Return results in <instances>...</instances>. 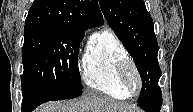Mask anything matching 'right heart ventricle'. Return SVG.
Instances as JSON below:
<instances>
[{
  "mask_svg": "<svg viewBox=\"0 0 193 112\" xmlns=\"http://www.w3.org/2000/svg\"><path fill=\"white\" fill-rule=\"evenodd\" d=\"M119 37L109 29L95 33L88 44L81 63V78L91 90L116 99H127L130 94L121 83L117 66L127 56Z\"/></svg>",
  "mask_w": 193,
  "mask_h": 112,
  "instance_id": "e07e8e85",
  "label": "right heart ventricle"
}]
</instances>
